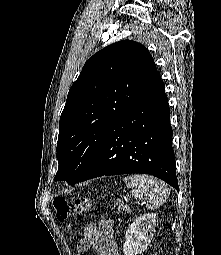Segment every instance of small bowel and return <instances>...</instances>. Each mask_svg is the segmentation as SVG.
I'll return each mask as SVG.
<instances>
[{
  "mask_svg": "<svg viewBox=\"0 0 221 255\" xmlns=\"http://www.w3.org/2000/svg\"><path fill=\"white\" fill-rule=\"evenodd\" d=\"M77 248L79 255H84L90 249L95 255H118L117 243L109 222H102L101 226H87Z\"/></svg>",
  "mask_w": 221,
  "mask_h": 255,
  "instance_id": "c3829d8e",
  "label": "small bowel"
}]
</instances>
